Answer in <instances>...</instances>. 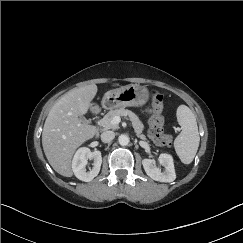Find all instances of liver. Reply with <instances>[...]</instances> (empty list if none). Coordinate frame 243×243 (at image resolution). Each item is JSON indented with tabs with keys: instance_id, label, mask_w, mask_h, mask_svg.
Here are the masks:
<instances>
[{
	"instance_id": "6515ba94",
	"label": "liver",
	"mask_w": 243,
	"mask_h": 243,
	"mask_svg": "<svg viewBox=\"0 0 243 243\" xmlns=\"http://www.w3.org/2000/svg\"><path fill=\"white\" fill-rule=\"evenodd\" d=\"M97 90L95 84H90L68 91L52 106L45 120L43 150L49 164L62 176L73 175L71 163L76 149L97 133L96 126L80 118L88 112Z\"/></svg>"
}]
</instances>
